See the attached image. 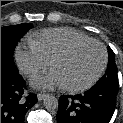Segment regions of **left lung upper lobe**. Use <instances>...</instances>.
I'll return each mask as SVG.
<instances>
[{
  "label": "left lung upper lobe",
  "mask_w": 123,
  "mask_h": 123,
  "mask_svg": "<svg viewBox=\"0 0 123 123\" xmlns=\"http://www.w3.org/2000/svg\"><path fill=\"white\" fill-rule=\"evenodd\" d=\"M108 67L105 75L94 86H107L118 89L117 70L115 67V54L110 47H108Z\"/></svg>",
  "instance_id": "obj_1"
}]
</instances>
